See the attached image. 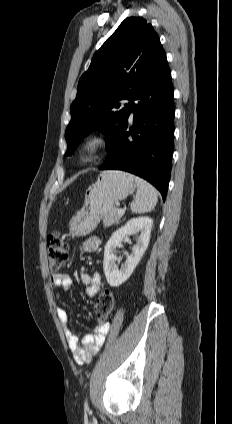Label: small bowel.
Instances as JSON below:
<instances>
[{
    "instance_id": "small-bowel-1",
    "label": "small bowel",
    "mask_w": 232,
    "mask_h": 424,
    "mask_svg": "<svg viewBox=\"0 0 232 424\" xmlns=\"http://www.w3.org/2000/svg\"><path fill=\"white\" fill-rule=\"evenodd\" d=\"M99 245L100 239L98 237H90L83 242L81 251L84 253H93L98 249ZM80 281L86 286L88 297L93 298L99 293L101 282L97 273L81 272ZM51 282L56 288L63 291L68 290L72 285L71 278L63 273L52 274ZM56 314L60 323L64 326V334L68 347L75 361L81 365L90 363L102 347L105 336L110 329V324L104 323L93 333L85 335L80 341L73 329L69 327V312L65 308L58 307Z\"/></svg>"
}]
</instances>
